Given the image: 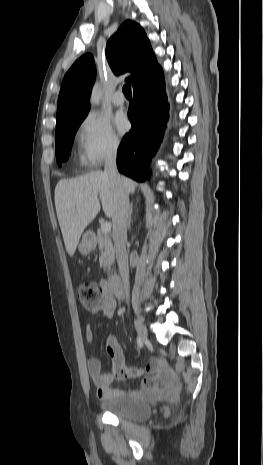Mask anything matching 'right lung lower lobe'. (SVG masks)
<instances>
[{"label":"right lung lower lobe","mask_w":263,"mask_h":465,"mask_svg":"<svg viewBox=\"0 0 263 465\" xmlns=\"http://www.w3.org/2000/svg\"><path fill=\"white\" fill-rule=\"evenodd\" d=\"M128 117L132 128L118 149V170L137 181L149 177L148 167L162 141L169 113L164 74L158 69L133 87Z\"/></svg>","instance_id":"1"}]
</instances>
